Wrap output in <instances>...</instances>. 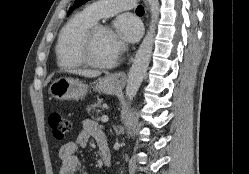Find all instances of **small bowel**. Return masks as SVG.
I'll return each instance as SVG.
<instances>
[{"label": "small bowel", "mask_w": 249, "mask_h": 174, "mask_svg": "<svg viewBox=\"0 0 249 174\" xmlns=\"http://www.w3.org/2000/svg\"><path fill=\"white\" fill-rule=\"evenodd\" d=\"M90 139L94 140L98 146L100 143L107 144L106 136L98 124L86 119L82 122V129L76 138L64 143L59 149L58 155L61 161L59 174H89L82 167L77 151L86 147Z\"/></svg>", "instance_id": "small-bowel-1"}]
</instances>
